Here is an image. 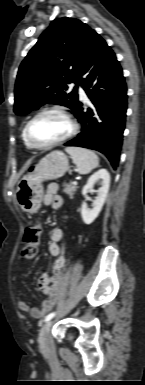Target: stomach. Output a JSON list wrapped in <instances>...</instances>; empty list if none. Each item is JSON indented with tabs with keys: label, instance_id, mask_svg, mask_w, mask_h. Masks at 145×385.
<instances>
[{
	"label": "stomach",
	"instance_id": "1",
	"mask_svg": "<svg viewBox=\"0 0 145 385\" xmlns=\"http://www.w3.org/2000/svg\"><path fill=\"white\" fill-rule=\"evenodd\" d=\"M68 167V157L62 151H52L42 158L34 170L22 177L17 184L16 201L21 209L28 213L37 212L43 200L42 183L64 176Z\"/></svg>",
	"mask_w": 145,
	"mask_h": 385
}]
</instances>
